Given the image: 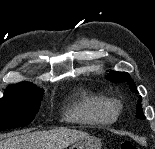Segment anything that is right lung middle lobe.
I'll return each instance as SVG.
<instances>
[{
	"label": "right lung middle lobe",
	"mask_w": 155,
	"mask_h": 149,
	"mask_svg": "<svg viewBox=\"0 0 155 149\" xmlns=\"http://www.w3.org/2000/svg\"><path fill=\"white\" fill-rule=\"evenodd\" d=\"M43 89L32 83L9 86L0 99V131L31 123L39 110Z\"/></svg>",
	"instance_id": "right-lung-middle-lobe-1"
}]
</instances>
